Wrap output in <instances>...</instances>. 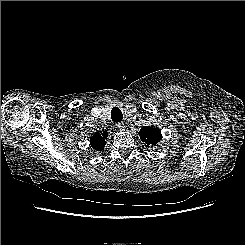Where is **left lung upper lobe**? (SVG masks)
Returning <instances> with one entry per match:
<instances>
[{
  "mask_svg": "<svg viewBox=\"0 0 245 245\" xmlns=\"http://www.w3.org/2000/svg\"><path fill=\"white\" fill-rule=\"evenodd\" d=\"M140 139L147 145H156L161 140V131L158 128L142 127L139 131Z\"/></svg>",
  "mask_w": 245,
  "mask_h": 245,
  "instance_id": "1",
  "label": "left lung upper lobe"
}]
</instances>
